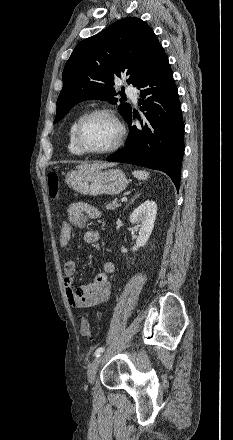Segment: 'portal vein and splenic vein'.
<instances>
[{
  "instance_id": "1",
  "label": "portal vein and splenic vein",
  "mask_w": 233,
  "mask_h": 440,
  "mask_svg": "<svg viewBox=\"0 0 233 440\" xmlns=\"http://www.w3.org/2000/svg\"><path fill=\"white\" fill-rule=\"evenodd\" d=\"M126 200H127V198L124 197V198L121 199V202H125Z\"/></svg>"
}]
</instances>
